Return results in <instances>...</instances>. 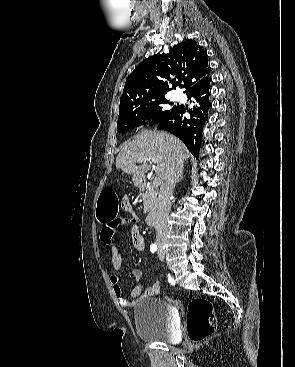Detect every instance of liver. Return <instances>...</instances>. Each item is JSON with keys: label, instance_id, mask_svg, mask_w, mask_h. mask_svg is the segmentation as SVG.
<instances>
[{"label": "liver", "instance_id": "obj_1", "mask_svg": "<svg viewBox=\"0 0 295 367\" xmlns=\"http://www.w3.org/2000/svg\"><path fill=\"white\" fill-rule=\"evenodd\" d=\"M189 156L186 146L178 138L166 132L142 130L118 154L116 168L142 178L149 170L150 162L155 160V172L163 180L174 163L183 166Z\"/></svg>", "mask_w": 295, "mask_h": 367}]
</instances>
